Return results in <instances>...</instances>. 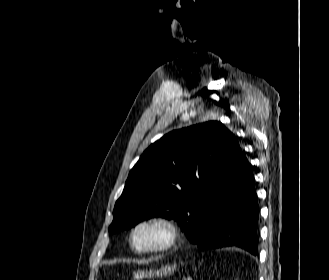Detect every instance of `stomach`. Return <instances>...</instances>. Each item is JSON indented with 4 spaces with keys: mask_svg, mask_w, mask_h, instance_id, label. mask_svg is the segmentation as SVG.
Wrapping results in <instances>:
<instances>
[{
    "mask_svg": "<svg viewBox=\"0 0 329 280\" xmlns=\"http://www.w3.org/2000/svg\"><path fill=\"white\" fill-rule=\"evenodd\" d=\"M177 266L176 265H166L165 267H161L160 270H157V271H153V270H150V271H137V272H134L133 275H134V278L136 280H140V279H143V278H150V277H154V275L158 276V277H162L163 275L164 276H167L168 274H171L174 272V270H176Z\"/></svg>",
    "mask_w": 329,
    "mask_h": 280,
    "instance_id": "1",
    "label": "stomach"
}]
</instances>
